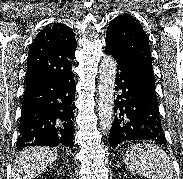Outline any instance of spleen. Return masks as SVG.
Returning a JSON list of instances; mask_svg holds the SVG:
<instances>
[{
	"label": "spleen",
	"mask_w": 183,
	"mask_h": 179,
	"mask_svg": "<svg viewBox=\"0 0 183 179\" xmlns=\"http://www.w3.org/2000/svg\"><path fill=\"white\" fill-rule=\"evenodd\" d=\"M127 168L149 179H172L173 166L164 150L156 145L137 143L131 145L123 157Z\"/></svg>",
	"instance_id": "3e777b00"
}]
</instances>
